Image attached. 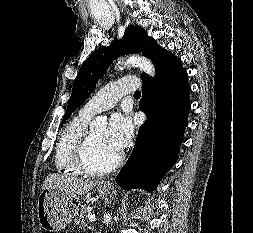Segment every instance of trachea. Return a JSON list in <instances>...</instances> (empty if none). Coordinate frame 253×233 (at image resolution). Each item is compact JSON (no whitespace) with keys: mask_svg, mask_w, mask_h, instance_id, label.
<instances>
[{"mask_svg":"<svg viewBox=\"0 0 253 233\" xmlns=\"http://www.w3.org/2000/svg\"><path fill=\"white\" fill-rule=\"evenodd\" d=\"M141 95V92L140 91H136L135 93H134V96H140Z\"/></svg>","mask_w":253,"mask_h":233,"instance_id":"trachea-1","label":"trachea"}]
</instances>
